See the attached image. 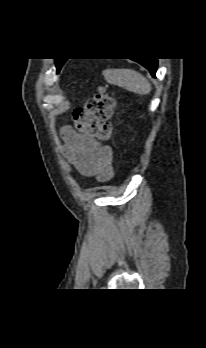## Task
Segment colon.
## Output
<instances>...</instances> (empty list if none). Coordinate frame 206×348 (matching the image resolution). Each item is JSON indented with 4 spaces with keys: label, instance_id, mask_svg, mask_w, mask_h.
I'll return each instance as SVG.
<instances>
[{
    "label": "colon",
    "instance_id": "colon-1",
    "mask_svg": "<svg viewBox=\"0 0 206 348\" xmlns=\"http://www.w3.org/2000/svg\"><path fill=\"white\" fill-rule=\"evenodd\" d=\"M114 104L113 93L105 88H100L96 95L87 101L83 109L74 112L73 123L75 128L101 141L112 140L114 131L109 120Z\"/></svg>",
    "mask_w": 206,
    "mask_h": 348
}]
</instances>
